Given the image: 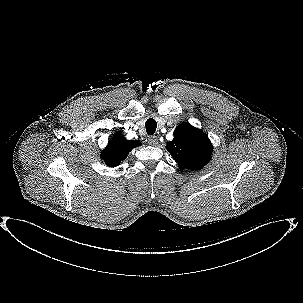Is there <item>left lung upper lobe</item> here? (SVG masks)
Here are the masks:
<instances>
[{
    "mask_svg": "<svg viewBox=\"0 0 303 303\" xmlns=\"http://www.w3.org/2000/svg\"><path fill=\"white\" fill-rule=\"evenodd\" d=\"M166 149L180 169H201L212 155V144L207 135L189 123H181L174 131V139Z\"/></svg>",
    "mask_w": 303,
    "mask_h": 303,
    "instance_id": "obj_1",
    "label": "left lung upper lobe"
}]
</instances>
